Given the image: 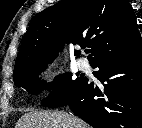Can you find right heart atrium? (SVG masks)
Returning a JSON list of instances; mask_svg holds the SVG:
<instances>
[{
  "instance_id": "1",
  "label": "right heart atrium",
  "mask_w": 142,
  "mask_h": 128,
  "mask_svg": "<svg viewBox=\"0 0 142 128\" xmlns=\"http://www.w3.org/2000/svg\"><path fill=\"white\" fill-rule=\"evenodd\" d=\"M47 79H50L52 77V72L49 70L46 74Z\"/></svg>"
}]
</instances>
